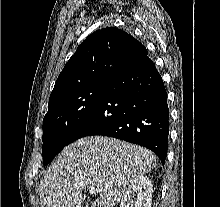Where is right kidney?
<instances>
[{"mask_svg":"<svg viewBox=\"0 0 220 207\" xmlns=\"http://www.w3.org/2000/svg\"><path fill=\"white\" fill-rule=\"evenodd\" d=\"M152 190L149 177L138 176L124 192L120 207H151Z\"/></svg>","mask_w":220,"mask_h":207,"instance_id":"right-kidney-1","label":"right kidney"}]
</instances>
